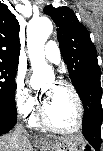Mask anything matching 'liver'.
<instances>
[{
  "label": "liver",
  "instance_id": "1",
  "mask_svg": "<svg viewBox=\"0 0 103 151\" xmlns=\"http://www.w3.org/2000/svg\"><path fill=\"white\" fill-rule=\"evenodd\" d=\"M63 137H49L48 141L62 139ZM44 144V143H43ZM31 143L28 137L22 133H12L1 137L0 150L1 151H31ZM46 150L44 147L42 149Z\"/></svg>",
  "mask_w": 103,
  "mask_h": 151
}]
</instances>
